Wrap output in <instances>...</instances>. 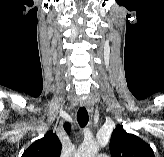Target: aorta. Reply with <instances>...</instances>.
Instances as JSON below:
<instances>
[{
  "label": "aorta",
  "instance_id": "1",
  "mask_svg": "<svg viewBox=\"0 0 164 157\" xmlns=\"http://www.w3.org/2000/svg\"><path fill=\"white\" fill-rule=\"evenodd\" d=\"M98 149L99 145L97 142H85L79 147L74 157H95Z\"/></svg>",
  "mask_w": 164,
  "mask_h": 157
}]
</instances>
